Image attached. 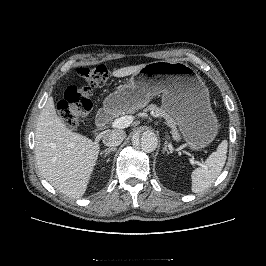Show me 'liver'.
<instances>
[{
	"instance_id": "1",
	"label": "liver",
	"mask_w": 266,
	"mask_h": 266,
	"mask_svg": "<svg viewBox=\"0 0 266 266\" xmlns=\"http://www.w3.org/2000/svg\"><path fill=\"white\" fill-rule=\"evenodd\" d=\"M145 64L114 70V77H125ZM95 141L68 129L57 116L52 97L42 109L35 130V158L41 175L60 193L81 198L87 189L100 151Z\"/></svg>"
}]
</instances>
